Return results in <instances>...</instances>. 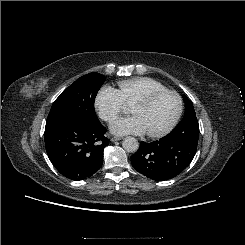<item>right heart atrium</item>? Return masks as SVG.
Listing matches in <instances>:
<instances>
[{
	"mask_svg": "<svg viewBox=\"0 0 245 245\" xmlns=\"http://www.w3.org/2000/svg\"><path fill=\"white\" fill-rule=\"evenodd\" d=\"M94 105L101 119L111 122L124 110V102L114 88L103 86L96 94Z\"/></svg>",
	"mask_w": 245,
	"mask_h": 245,
	"instance_id": "obj_1",
	"label": "right heart atrium"
}]
</instances>
